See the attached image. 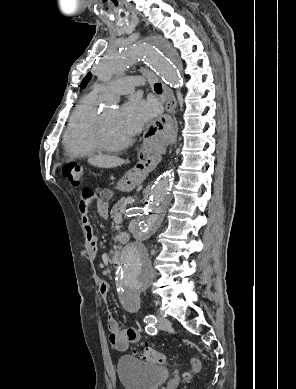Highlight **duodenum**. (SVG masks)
<instances>
[{
    "instance_id": "duodenum-1",
    "label": "duodenum",
    "mask_w": 296,
    "mask_h": 389,
    "mask_svg": "<svg viewBox=\"0 0 296 389\" xmlns=\"http://www.w3.org/2000/svg\"><path fill=\"white\" fill-rule=\"evenodd\" d=\"M119 258H120V251L117 250L113 253L112 257H111V262L112 264H116L118 261H119Z\"/></svg>"
}]
</instances>
